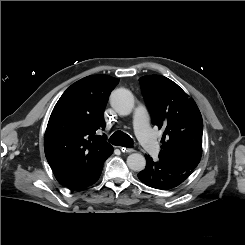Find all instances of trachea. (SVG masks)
<instances>
[{"mask_svg": "<svg viewBox=\"0 0 245 245\" xmlns=\"http://www.w3.org/2000/svg\"><path fill=\"white\" fill-rule=\"evenodd\" d=\"M109 142L115 146H122L127 148H132L133 146L132 138L122 131H116L113 133L109 138Z\"/></svg>", "mask_w": 245, "mask_h": 245, "instance_id": "obj_1", "label": "trachea"}]
</instances>
